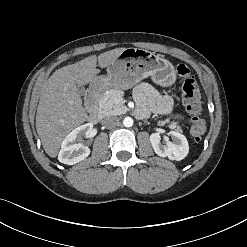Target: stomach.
<instances>
[{"instance_id": "obj_1", "label": "stomach", "mask_w": 247, "mask_h": 247, "mask_svg": "<svg viewBox=\"0 0 247 247\" xmlns=\"http://www.w3.org/2000/svg\"><path fill=\"white\" fill-rule=\"evenodd\" d=\"M171 86L176 80L173 65L166 59L140 48H126L108 67L107 75L92 82L106 88L130 89L144 78Z\"/></svg>"}]
</instances>
